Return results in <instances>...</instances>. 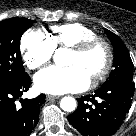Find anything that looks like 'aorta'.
I'll use <instances>...</instances> for the list:
<instances>
[{
    "label": "aorta",
    "instance_id": "aorta-1",
    "mask_svg": "<svg viewBox=\"0 0 136 136\" xmlns=\"http://www.w3.org/2000/svg\"><path fill=\"white\" fill-rule=\"evenodd\" d=\"M54 62L58 66H64L65 65V52L64 49H58L56 50L54 56H53ZM60 107L62 110L66 112H72L76 108V100L73 97H64L62 98L60 102Z\"/></svg>",
    "mask_w": 136,
    "mask_h": 136
}]
</instances>
